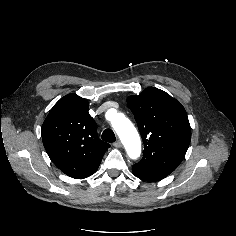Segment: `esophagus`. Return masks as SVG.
Here are the masks:
<instances>
[{"label": "esophagus", "mask_w": 236, "mask_h": 236, "mask_svg": "<svg viewBox=\"0 0 236 236\" xmlns=\"http://www.w3.org/2000/svg\"><path fill=\"white\" fill-rule=\"evenodd\" d=\"M113 146L116 148H120V147H122V143L120 140H117L115 143H113Z\"/></svg>", "instance_id": "obj_1"}]
</instances>
